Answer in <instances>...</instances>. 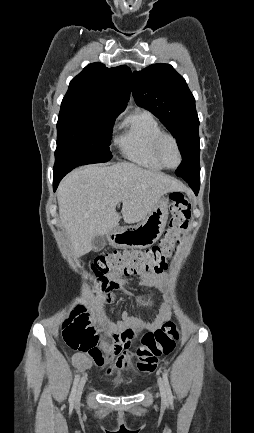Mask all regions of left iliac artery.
I'll list each match as a JSON object with an SVG mask.
<instances>
[{"label":"left iliac artery","instance_id":"1","mask_svg":"<svg viewBox=\"0 0 254 433\" xmlns=\"http://www.w3.org/2000/svg\"><path fill=\"white\" fill-rule=\"evenodd\" d=\"M163 381L166 387V392H167V396H168V400L169 402L172 404L173 403V395H172V391L169 385V380H168V376L165 372H163Z\"/></svg>","mask_w":254,"mask_h":433}]
</instances>
